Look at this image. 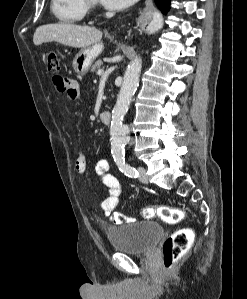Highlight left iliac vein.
Masks as SVG:
<instances>
[{
  "label": "left iliac vein",
  "mask_w": 247,
  "mask_h": 299,
  "mask_svg": "<svg viewBox=\"0 0 247 299\" xmlns=\"http://www.w3.org/2000/svg\"><path fill=\"white\" fill-rule=\"evenodd\" d=\"M137 170H138L140 181L147 184L148 183V177H147V174H146V169L144 167L140 166V167L137 168Z\"/></svg>",
  "instance_id": "1"
}]
</instances>
